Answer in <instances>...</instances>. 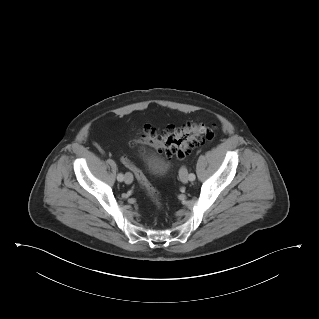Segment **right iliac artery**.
Masks as SVG:
<instances>
[{
	"mask_svg": "<svg viewBox=\"0 0 319 319\" xmlns=\"http://www.w3.org/2000/svg\"><path fill=\"white\" fill-rule=\"evenodd\" d=\"M117 180L122 182L124 180V176L122 173H119L118 176H117Z\"/></svg>",
	"mask_w": 319,
	"mask_h": 319,
	"instance_id": "1",
	"label": "right iliac artery"
}]
</instances>
